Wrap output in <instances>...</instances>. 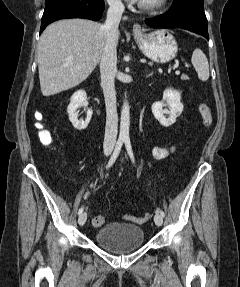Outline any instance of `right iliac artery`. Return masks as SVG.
Here are the masks:
<instances>
[{
    "label": "right iliac artery",
    "instance_id": "82829eb1",
    "mask_svg": "<svg viewBox=\"0 0 240 287\" xmlns=\"http://www.w3.org/2000/svg\"><path fill=\"white\" fill-rule=\"evenodd\" d=\"M123 142H124V141L121 140V139H119V140L117 141L116 146H115V149H114V152H113V154H112V156H111V158H110V160H109V162H108V164H107L106 169L110 168V167L114 164L115 160L117 159V157H118V155H119V153H120V151H121ZM83 210H84V207H81V208L79 209V211H78V215H80V214L83 212Z\"/></svg>",
    "mask_w": 240,
    "mask_h": 287
}]
</instances>
